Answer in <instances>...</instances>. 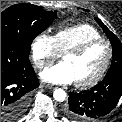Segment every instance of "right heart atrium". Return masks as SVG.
Returning a JSON list of instances; mask_svg holds the SVG:
<instances>
[{
	"instance_id": "1",
	"label": "right heart atrium",
	"mask_w": 122,
	"mask_h": 122,
	"mask_svg": "<svg viewBox=\"0 0 122 122\" xmlns=\"http://www.w3.org/2000/svg\"><path fill=\"white\" fill-rule=\"evenodd\" d=\"M60 52L54 36L48 33L38 34L31 45V57L35 66L43 69L59 58Z\"/></svg>"
}]
</instances>
